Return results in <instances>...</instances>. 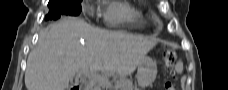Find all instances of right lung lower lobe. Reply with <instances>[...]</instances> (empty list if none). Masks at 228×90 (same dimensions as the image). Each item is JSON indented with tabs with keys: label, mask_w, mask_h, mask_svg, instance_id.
I'll return each instance as SVG.
<instances>
[{
	"label": "right lung lower lobe",
	"mask_w": 228,
	"mask_h": 90,
	"mask_svg": "<svg viewBox=\"0 0 228 90\" xmlns=\"http://www.w3.org/2000/svg\"><path fill=\"white\" fill-rule=\"evenodd\" d=\"M46 18H47V19H50L49 14L46 16ZM57 18H59V17H57ZM57 18H53V19H57ZM51 19H52V18H51Z\"/></svg>",
	"instance_id": "1"
}]
</instances>
